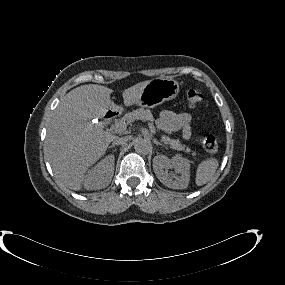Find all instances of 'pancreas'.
<instances>
[{
    "label": "pancreas",
    "mask_w": 285,
    "mask_h": 285,
    "mask_svg": "<svg viewBox=\"0 0 285 285\" xmlns=\"http://www.w3.org/2000/svg\"><path fill=\"white\" fill-rule=\"evenodd\" d=\"M138 119L148 121L149 125L152 126L153 131H155V128L153 125V121H154L153 115L149 109H144V108L136 109V110H133L132 112L127 113L123 118H121L119 121H117L115 123V125L118 123L126 124V122H132V121L138 120ZM114 128H115V126H114ZM162 142L164 144L168 145L171 149H175L178 151H184L186 153L191 152V149L189 147L182 144L177 139H171L169 136L163 135L162 136ZM192 155L195 156L196 153L193 152Z\"/></svg>",
    "instance_id": "cf45deb5"
}]
</instances>
